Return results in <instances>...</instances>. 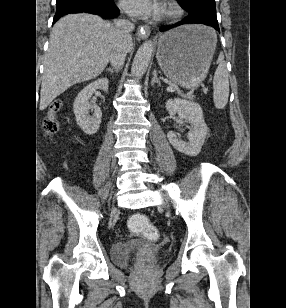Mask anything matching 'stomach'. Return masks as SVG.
I'll list each match as a JSON object with an SVG mask.
<instances>
[{
    "instance_id": "stomach-1",
    "label": "stomach",
    "mask_w": 286,
    "mask_h": 308,
    "mask_svg": "<svg viewBox=\"0 0 286 308\" xmlns=\"http://www.w3.org/2000/svg\"><path fill=\"white\" fill-rule=\"evenodd\" d=\"M216 44L212 28L200 24L180 26L160 37L158 64L173 83L197 87L208 73Z\"/></svg>"
}]
</instances>
